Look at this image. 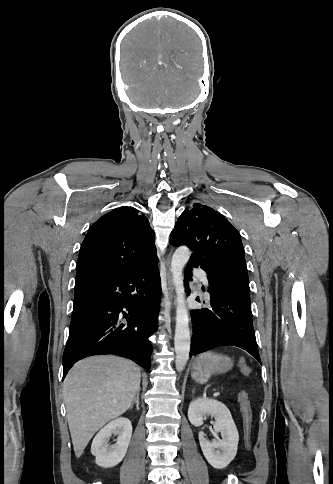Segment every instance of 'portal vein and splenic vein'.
Listing matches in <instances>:
<instances>
[{
  "label": "portal vein and splenic vein",
  "instance_id": "portal-vein-and-splenic-vein-1",
  "mask_svg": "<svg viewBox=\"0 0 333 484\" xmlns=\"http://www.w3.org/2000/svg\"><path fill=\"white\" fill-rule=\"evenodd\" d=\"M218 395H220V392H215L214 393V396H218Z\"/></svg>",
  "mask_w": 333,
  "mask_h": 484
}]
</instances>
